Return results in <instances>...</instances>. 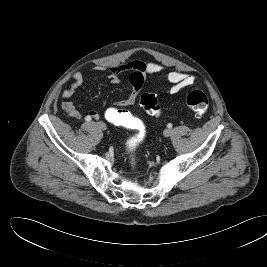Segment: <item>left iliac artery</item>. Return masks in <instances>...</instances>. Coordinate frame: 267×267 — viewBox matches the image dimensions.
<instances>
[{
    "label": "left iliac artery",
    "instance_id": "1",
    "mask_svg": "<svg viewBox=\"0 0 267 267\" xmlns=\"http://www.w3.org/2000/svg\"><path fill=\"white\" fill-rule=\"evenodd\" d=\"M167 127H168V128H172V124L169 123V124L167 125Z\"/></svg>",
    "mask_w": 267,
    "mask_h": 267
}]
</instances>
